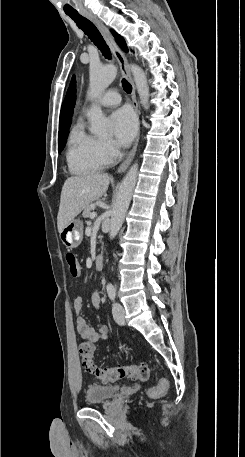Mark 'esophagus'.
<instances>
[{"mask_svg": "<svg viewBox=\"0 0 245 457\" xmlns=\"http://www.w3.org/2000/svg\"><path fill=\"white\" fill-rule=\"evenodd\" d=\"M82 15L84 17H86L87 19L91 20V22H93V24L98 28L99 32L101 33L104 40L109 45L114 56L116 57L119 65H120L122 74L127 78V80L132 85L133 107H134L136 113L138 114L139 110H138V104H137V99H136V89H135L134 81L132 79L130 69L128 66V61H127L125 54L123 53V51L120 50V48L115 43L114 38L111 35V33L108 31V29L105 27V25H103V23L100 22V20H98V18H96L94 15H91V13H88V12H82ZM139 138H140V123H138L137 135H136V140H135L134 146H133L129 156L126 158V160H124V162L121 163V165L118 167V170H117L118 173L124 172L131 164V162L135 156V153H136Z\"/></svg>", "mask_w": 245, "mask_h": 457, "instance_id": "34e87169", "label": "esophagus"}]
</instances>
